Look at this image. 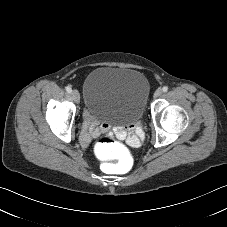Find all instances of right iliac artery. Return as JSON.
Returning <instances> with one entry per match:
<instances>
[{"instance_id":"1","label":"right iliac artery","mask_w":227,"mask_h":227,"mask_svg":"<svg viewBox=\"0 0 227 227\" xmlns=\"http://www.w3.org/2000/svg\"><path fill=\"white\" fill-rule=\"evenodd\" d=\"M66 91H67L68 93H71V92H72V88H71L70 86H67V87H66Z\"/></svg>"}]
</instances>
